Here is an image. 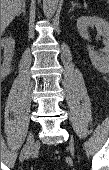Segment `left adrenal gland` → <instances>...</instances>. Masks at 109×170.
Masks as SVG:
<instances>
[{"label": "left adrenal gland", "instance_id": "left-adrenal-gland-1", "mask_svg": "<svg viewBox=\"0 0 109 170\" xmlns=\"http://www.w3.org/2000/svg\"><path fill=\"white\" fill-rule=\"evenodd\" d=\"M71 4H72V8H71V10L70 11H73L74 10V8L78 5L77 3H75V2H71Z\"/></svg>", "mask_w": 109, "mask_h": 170}]
</instances>
